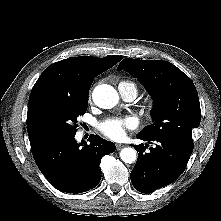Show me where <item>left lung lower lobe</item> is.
<instances>
[{
    "instance_id": "1",
    "label": "left lung lower lobe",
    "mask_w": 221,
    "mask_h": 221,
    "mask_svg": "<svg viewBox=\"0 0 221 221\" xmlns=\"http://www.w3.org/2000/svg\"><path fill=\"white\" fill-rule=\"evenodd\" d=\"M138 139L156 143L150 152H145L148 144L135 145L137 162L130 174L136 190L152 193L174 182L184 171L193 147L171 138H149L138 134Z\"/></svg>"
}]
</instances>
